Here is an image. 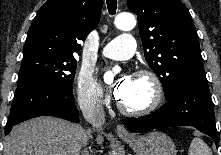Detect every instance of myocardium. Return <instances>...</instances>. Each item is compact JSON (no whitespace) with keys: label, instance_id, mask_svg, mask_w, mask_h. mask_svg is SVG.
<instances>
[{"label":"myocardium","instance_id":"obj_1","mask_svg":"<svg viewBox=\"0 0 221 155\" xmlns=\"http://www.w3.org/2000/svg\"><path fill=\"white\" fill-rule=\"evenodd\" d=\"M135 77H145L150 80L153 87V97L151 102L140 109H130L126 107L120 100L117 105L119 110L129 116H145L154 112L162 102L163 99V85L156 73L148 69H140L134 73Z\"/></svg>","mask_w":221,"mask_h":155}]
</instances>
